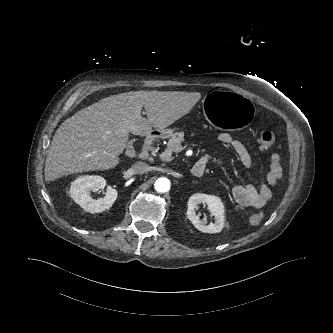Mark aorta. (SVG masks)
Segmentation results:
<instances>
[{
	"mask_svg": "<svg viewBox=\"0 0 333 333\" xmlns=\"http://www.w3.org/2000/svg\"><path fill=\"white\" fill-rule=\"evenodd\" d=\"M170 180L165 177H161L155 181L154 187L158 193H165L170 189Z\"/></svg>",
	"mask_w": 333,
	"mask_h": 333,
	"instance_id": "obj_1",
	"label": "aorta"
}]
</instances>
